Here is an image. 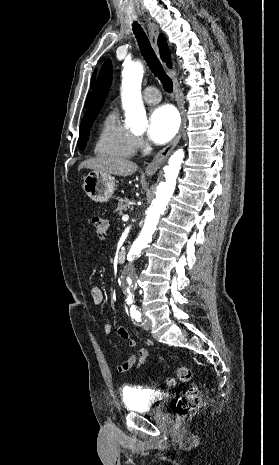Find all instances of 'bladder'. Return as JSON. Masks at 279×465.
<instances>
[{"label":"bladder","instance_id":"obj_1","mask_svg":"<svg viewBox=\"0 0 279 465\" xmlns=\"http://www.w3.org/2000/svg\"><path fill=\"white\" fill-rule=\"evenodd\" d=\"M122 400L126 409L135 413H160L169 400L166 393L138 386H126L122 389Z\"/></svg>","mask_w":279,"mask_h":465}]
</instances>
